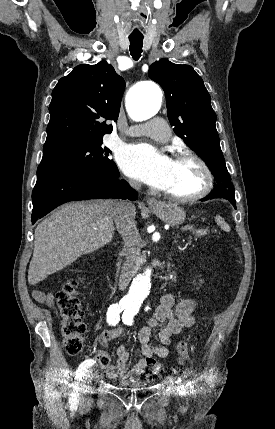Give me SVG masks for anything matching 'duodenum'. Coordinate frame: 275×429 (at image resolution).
I'll return each mask as SVG.
<instances>
[{
    "label": "duodenum",
    "mask_w": 275,
    "mask_h": 429,
    "mask_svg": "<svg viewBox=\"0 0 275 429\" xmlns=\"http://www.w3.org/2000/svg\"><path fill=\"white\" fill-rule=\"evenodd\" d=\"M118 273H119V285L121 288H123L126 286L128 282V276L121 265L118 266Z\"/></svg>",
    "instance_id": "410a0bca"
}]
</instances>
